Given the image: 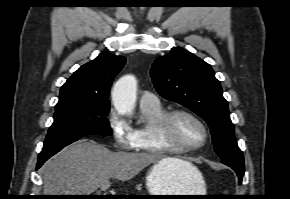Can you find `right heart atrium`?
Listing matches in <instances>:
<instances>
[{"mask_svg": "<svg viewBox=\"0 0 290 199\" xmlns=\"http://www.w3.org/2000/svg\"><path fill=\"white\" fill-rule=\"evenodd\" d=\"M108 124L116 148L131 150L134 145V133L131 125L114 109L109 113Z\"/></svg>", "mask_w": 290, "mask_h": 199, "instance_id": "d8ad5b80", "label": "right heart atrium"}]
</instances>
